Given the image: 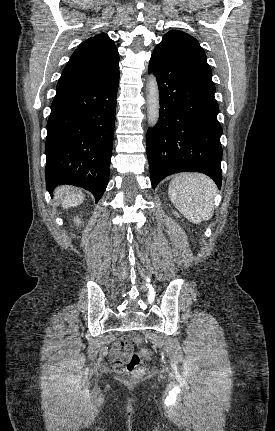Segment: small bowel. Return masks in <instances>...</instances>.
<instances>
[{"instance_id": "c3829d8e", "label": "small bowel", "mask_w": 275, "mask_h": 431, "mask_svg": "<svg viewBox=\"0 0 275 431\" xmlns=\"http://www.w3.org/2000/svg\"><path fill=\"white\" fill-rule=\"evenodd\" d=\"M122 347H125V351L121 353ZM131 346L125 344L124 339L116 341L110 351V357L112 359L113 365L118 367L124 363L128 358Z\"/></svg>"}]
</instances>
